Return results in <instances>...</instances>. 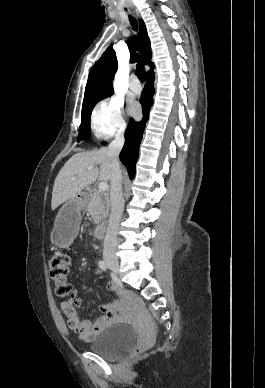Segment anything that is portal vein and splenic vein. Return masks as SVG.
Masks as SVG:
<instances>
[{"label":"portal vein and splenic vein","instance_id":"1","mask_svg":"<svg viewBox=\"0 0 265 388\" xmlns=\"http://www.w3.org/2000/svg\"><path fill=\"white\" fill-rule=\"evenodd\" d=\"M95 166H89L88 170H94ZM72 180H76V178H72ZM100 192H105V190H108V184L106 182H100L98 184Z\"/></svg>","mask_w":265,"mask_h":388}]
</instances>
